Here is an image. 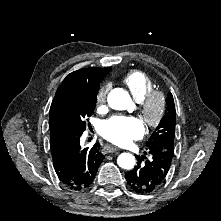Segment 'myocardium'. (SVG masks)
Here are the masks:
<instances>
[{
	"mask_svg": "<svg viewBox=\"0 0 221 221\" xmlns=\"http://www.w3.org/2000/svg\"><path fill=\"white\" fill-rule=\"evenodd\" d=\"M166 112V99L158 90H152L140 102V114L150 129H155L163 121Z\"/></svg>",
	"mask_w": 221,
	"mask_h": 221,
	"instance_id": "f54148a6",
	"label": "myocardium"
}]
</instances>
